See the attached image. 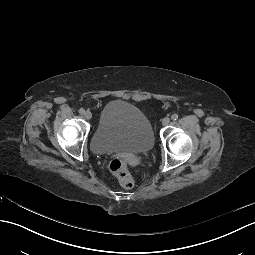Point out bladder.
<instances>
[{
  "label": "bladder",
  "mask_w": 255,
  "mask_h": 255,
  "mask_svg": "<svg viewBox=\"0 0 255 255\" xmlns=\"http://www.w3.org/2000/svg\"><path fill=\"white\" fill-rule=\"evenodd\" d=\"M153 145L154 136L146 115L121 100L106 105L91 137L92 151L97 154L121 150L144 153Z\"/></svg>",
  "instance_id": "bladder-1"
}]
</instances>
